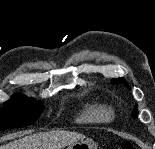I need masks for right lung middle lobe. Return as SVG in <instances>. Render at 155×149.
<instances>
[{"label": "right lung middle lobe", "mask_w": 155, "mask_h": 149, "mask_svg": "<svg viewBox=\"0 0 155 149\" xmlns=\"http://www.w3.org/2000/svg\"><path fill=\"white\" fill-rule=\"evenodd\" d=\"M44 105L25 95H14L5 102L0 121V130L32 125L40 117Z\"/></svg>", "instance_id": "dd1d6c3e"}]
</instances>
